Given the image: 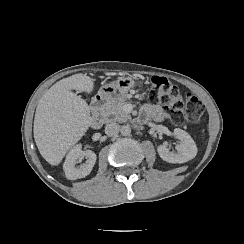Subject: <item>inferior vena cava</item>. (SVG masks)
Listing matches in <instances>:
<instances>
[{"label":"inferior vena cava","instance_id":"obj_1","mask_svg":"<svg viewBox=\"0 0 244 244\" xmlns=\"http://www.w3.org/2000/svg\"><path fill=\"white\" fill-rule=\"evenodd\" d=\"M120 125L116 122L107 123L105 125V133L109 136H114L118 134Z\"/></svg>","mask_w":244,"mask_h":244}]
</instances>
